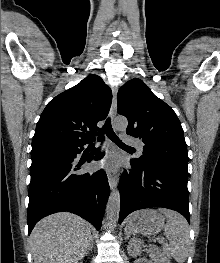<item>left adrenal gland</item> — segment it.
Here are the masks:
<instances>
[{
  "instance_id": "a2214340",
  "label": "left adrenal gland",
  "mask_w": 220,
  "mask_h": 263,
  "mask_svg": "<svg viewBox=\"0 0 220 263\" xmlns=\"http://www.w3.org/2000/svg\"><path fill=\"white\" fill-rule=\"evenodd\" d=\"M125 235H126V239H129L130 233L127 231V229H125Z\"/></svg>"
}]
</instances>
